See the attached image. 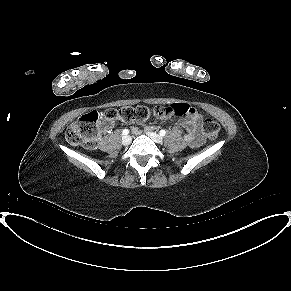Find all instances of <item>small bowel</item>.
<instances>
[{
	"label": "small bowel",
	"mask_w": 291,
	"mask_h": 291,
	"mask_svg": "<svg viewBox=\"0 0 291 291\" xmlns=\"http://www.w3.org/2000/svg\"><path fill=\"white\" fill-rule=\"evenodd\" d=\"M202 117L197 113L195 108L190 106V111L185 114L184 118L178 120L177 125L185 129L184 140L191 148L199 147L204 141V135L201 131ZM153 127H148L151 130ZM133 133L140 134L137 127H133Z\"/></svg>",
	"instance_id": "1"
}]
</instances>
